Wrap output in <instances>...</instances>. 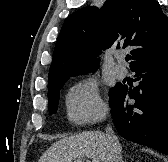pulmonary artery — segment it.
<instances>
[{"label":"pulmonary artery","instance_id":"1","mask_svg":"<svg viewBox=\"0 0 168 162\" xmlns=\"http://www.w3.org/2000/svg\"><path fill=\"white\" fill-rule=\"evenodd\" d=\"M127 73H128L127 68L124 67V66L117 65V66L114 68V74H115L116 77H118V78H124V77H126Z\"/></svg>","mask_w":168,"mask_h":162}]
</instances>
